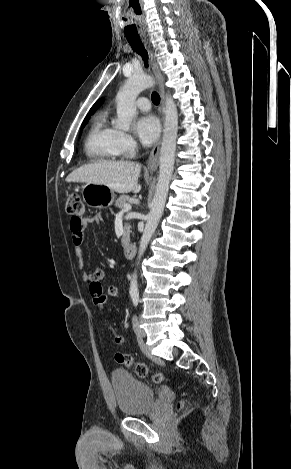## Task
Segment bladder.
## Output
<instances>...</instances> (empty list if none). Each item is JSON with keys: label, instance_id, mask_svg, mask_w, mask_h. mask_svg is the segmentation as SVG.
Listing matches in <instances>:
<instances>
[{"label": "bladder", "instance_id": "1", "mask_svg": "<svg viewBox=\"0 0 291 469\" xmlns=\"http://www.w3.org/2000/svg\"><path fill=\"white\" fill-rule=\"evenodd\" d=\"M111 384L117 408L127 417L143 415L155 405V390L148 384L136 379L124 370H114Z\"/></svg>", "mask_w": 291, "mask_h": 469}]
</instances>
